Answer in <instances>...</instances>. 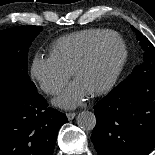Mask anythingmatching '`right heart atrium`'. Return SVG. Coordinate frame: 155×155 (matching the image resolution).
Returning <instances> with one entry per match:
<instances>
[{
    "instance_id": "1",
    "label": "right heart atrium",
    "mask_w": 155,
    "mask_h": 155,
    "mask_svg": "<svg viewBox=\"0 0 155 155\" xmlns=\"http://www.w3.org/2000/svg\"><path fill=\"white\" fill-rule=\"evenodd\" d=\"M31 74L41 89L51 95L60 93L71 75L51 55H36L32 62Z\"/></svg>"
}]
</instances>
